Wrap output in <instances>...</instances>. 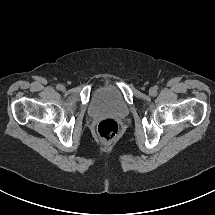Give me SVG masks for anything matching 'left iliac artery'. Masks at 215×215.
Listing matches in <instances>:
<instances>
[{
    "mask_svg": "<svg viewBox=\"0 0 215 215\" xmlns=\"http://www.w3.org/2000/svg\"><path fill=\"white\" fill-rule=\"evenodd\" d=\"M155 89L157 90V89H158V87H157V86H155Z\"/></svg>",
    "mask_w": 215,
    "mask_h": 215,
    "instance_id": "1",
    "label": "left iliac artery"
}]
</instances>
